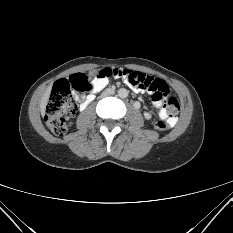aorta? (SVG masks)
<instances>
[{
    "mask_svg": "<svg viewBox=\"0 0 233 233\" xmlns=\"http://www.w3.org/2000/svg\"><path fill=\"white\" fill-rule=\"evenodd\" d=\"M118 96L120 98H126L128 96V91L125 88H121L118 90Z\"/></svg>",
    "mask_w": 233,
    "mask_h": 233,
    "instance_id": "1",
    "label": "aorta"
}]
</instances>
